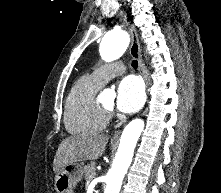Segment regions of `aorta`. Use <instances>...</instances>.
<instances>
[{
  "instance_id": "aorta-1",
  "label": "aorta",
  "mask_w": 221,
  "mask_h": 193,
  "mask_svg": "<svg viewBox=\"0 0 221 193\" xmlns=\"http://www.w3.org/2000/svg\"><path fill=\"white\" fill-rule=\"evenodd\" d=\"M129 45V36L123 30L108 32L100 44V54L105 61L118 59ZM144 129V121L132 120L123 130L118 151L113 164L106 175L104 193H119L121 184L132 162L134 149Z\"/></svg>"
}]
</instances>
